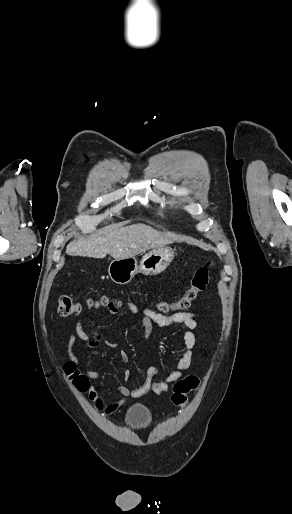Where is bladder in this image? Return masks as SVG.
I'll list each match as a JSON object with an SVG mask.
<instances>
[{
	"label": "bladder",
	"instance_id": "obj_1",
	"mask_svg": "<svg viewBox=\"0 0 292 514\" xmlns=\"http://www.w3.org/2000/svg\"><path fill=\"white\" fill-rule=\"evenodd\" d=\"M152 414L150 410L141 403L132 405L126 412L125 423L131 428H142L150 424Z\"/></svg>",
	"mask_w": 292,
	"mask_h": 514
}]
</instances>
